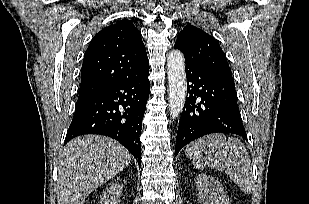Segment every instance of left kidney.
<instances>
[{"mask_svg": "<svg viewBox=\"0 0 309 204\" xmlns=\"http://www.w3.org/2000/svg\"><path fill=\"white\" fill-rule=\"evenodd\" d=\"M196 183L202 204H231L226 192L215 178L200 174L196 177Z\"/></svg>", "mask_w": 309, "mask_h": 204, "instance_id": "obj_1", "label": "left kidney"}]
</instances>
